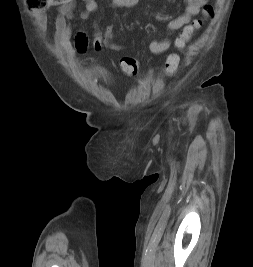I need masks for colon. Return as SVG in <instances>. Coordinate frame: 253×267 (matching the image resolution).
<instances>
[{"label":"colon","instance_id":"1","mask_svg":"<svg viewBox=\"0 0 253 267\" xmlns=\"http://www.w3.org/2000/svg\"><path fill=\"white\" fill-rule=\"evenodd\" d=\"M67 0H26L27 6L35 11H42L51 5H63ZM203 15L205 17H212L215 13L214 8L206 5L203 8ZM202 24V20L198 19L187 25L176 40V46L183 48L189 41L192 33L196 31ZM114 43L113 34L104 32H96L92 41L93 48L100 51L106 48L110 49V45ZM179 64V57L176 54H170L164 65V72L166 75L173 74ZM120 67L122 71L128 75H136L139 72V64L137 60L131 57H124L120 60Z\"/></svg>","mask_w":253,"mask_h":267}]
</instances>
